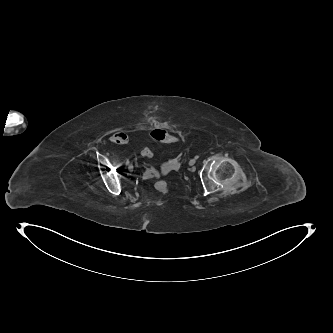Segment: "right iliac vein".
Returning a JSON list of instances; mask_svg holds the SVG:
<instances>
[{
    "label": "right iliac vein",
    "instance_id": "obj_1",
    "mask_svg": "<svg viewBox=\"0 0 333 333\" xmlns=\"http://www.w3.org/2000/svg\"><path fill=\"white\" fill-rule=\"evenodd\" d=\"M129 171H132L133 170V166L132 164L128 167Z\"/></svg>",
    "mask_w": 333,
    "mask_h": 333
}]
</instances>
